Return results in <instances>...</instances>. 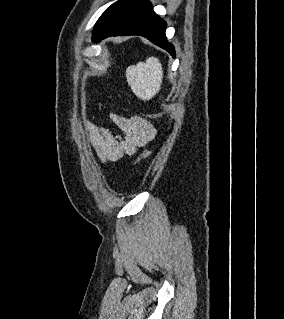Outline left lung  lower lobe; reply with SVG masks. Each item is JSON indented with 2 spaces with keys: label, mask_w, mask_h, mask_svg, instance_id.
I'll use <instances>...</instances> for the list:
<instances>
[{
  "label": "left lung lower lobe",
  "mask_w": 284,
  "mask_h": 319,
  "mask_svg": "<svg viewBox=\"0 0 284 319\" xmlns=\"http://www.w3.org/2000/svg\"><path fill=\"white\" fill-rule=\"evenodd\" d=\"M165 30L166 22L155 14L149 1L124 0L110 22L93 41L99 42L112 35H141L175 57L174 46L167 41Z\"/></svg>",
  "instance_id": "1"
}]
</instances>
